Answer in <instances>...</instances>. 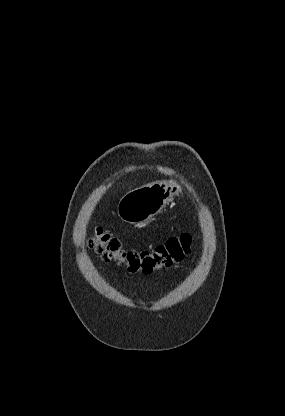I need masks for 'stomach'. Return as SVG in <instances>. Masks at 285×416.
<instances>
[{"label": "stomach", "mask_w": 285, "mask_h": 416, "mask_svg": "<svg viewBox=\"0 0 285 416\" xmlns=\"http://www.w3.org/2000/svg\"><path fill=\"white\" fill-rule=\"evenodd\" d=\"M180 192V186L173 180L153 182L125 194L118 202L117 214L123 222L141 224L157 216Z\"/></svg>", "instance_id": "1"}]
</instances>
